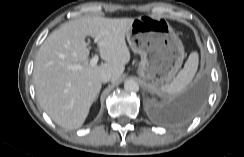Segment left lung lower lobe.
Returning a JSON list of instances; mask_svg holds the SVG:
<instances>
[{"label":"left lung lower lobe","mask_w":244,"mask_h":157,"mask_svg":"<svg viewBox=\"0 0 244 157\" xmlns=\"http://www.w3.org/2000/svg\"><path fill=\"white\" fill-rule=\"evenodd\" d=\"M205 90L204 82H200L183 94L178 101L173 119L184 121L192 118L204 101Z\"/></svg>","instance_id":"0a47b994"}]
</instances>
